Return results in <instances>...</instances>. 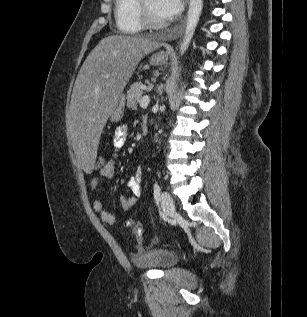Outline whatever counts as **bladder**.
<instances>
[{
	"label": "bladder",
	"instance_id": "bladder-1",
	"mask_svg": "<svg viewBox=\"0 0 307 317\" xmlns=\"http://www.w3.org/2000/svg\"><path fill=\"white\" fill-rule=\"evenodd\" d=\"M138 268L166 269L178 263V256L166 249H153L132 258Z\"/></svg>",
	"mask_w": 307,
	"mask_h": 317
}]
</instances>
